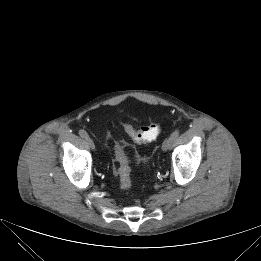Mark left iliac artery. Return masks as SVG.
Returning <instances> with one entry per match:
<instances>
[{
  "label": "left iliac artery",
  "instance_id": "left-iliac-artery-1",
  "mask_svg": "<svg viewBox=\"0 0 261 261\" xmlns=\"http://www.w3.org/2000/svg\"><path fill=\"white\" fill-rule=\"evenodd\" d=\"M179 133H180L179 130H175V131L171 134L170 138H171V140H172V144L175 142V140H176L177 137L179 136Z\"/></svg>",
  "mask_w": 261,
  "mask_h": 261
}]
</instances>
